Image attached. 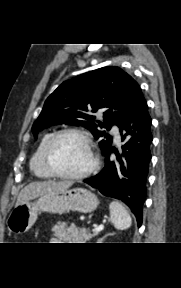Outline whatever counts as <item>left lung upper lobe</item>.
I'll list each match as a JSON object with an SVG mask.
<instances>
[{
    "instance_id": "obj_1",
    "label": "left lung upper lobe",
    "mask_w": 181,
    "mask_h": 288,
    "mask_svg": "<svg viewBox=\"0 0 181 288\" xmlns=\"http://www.w3.org/2000/svg\"><path fill=\"white\" fill-rule=\"evenodd\" d=\"M140 89L138 83L116 66H108L81 74L63 82L45 101L41 114L32 127L35 138L39 131L56 124L82 125L91 131L105 154L112 137L100 131L93 113L102 111L99 127L110 130L120 126Z\"/></svg>"
}]
</instances>
